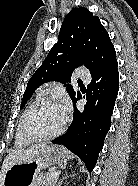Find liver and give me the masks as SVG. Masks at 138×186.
I'll return each mask as SVG.
<instances>
[{
  "label": "liver",
  "mask_w": 138,
  "mask_h": 186,
  "mask_svg": "<svg viewBox=\"0 0 138 186\" xmlns=\"http://www.w3.org/2000/svg\"><path fill=\"white\" fill-rule=\"evenodd\" d=\"M48 145L46 143L33 145L27 149L12 150L3 161L0 171V186L3 185V179L6 171L14 164L26 163L33 160L42 153Z\"/></svg>",
  "instance_id": "obj_1"
}]
</instances>
